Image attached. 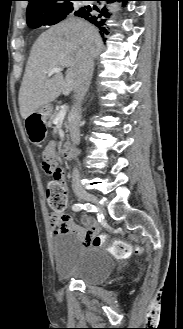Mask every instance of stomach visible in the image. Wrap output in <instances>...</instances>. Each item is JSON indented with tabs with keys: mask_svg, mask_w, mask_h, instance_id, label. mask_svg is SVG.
<instances>
[{
	"mask_svg": "<svg viewBox=\"0 0 183 329\" xmlns=\"http://www.w3.org/2000/svg\"><path fill=\"white\" fill-rule=\"evenodd\" d=\"M52 113V106L50 104L44 105L39 108L37 114L41 115L42 119H46Z\"/></svg>",
	"mask_w": 183,
	"mask_h": 329,
	"instance_id": "0dacf381",
	"label": "stomach"
}]
</instances>
